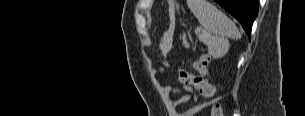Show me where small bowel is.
Listing matches in <instances>:
<instances>
[{
    "instance_id": "c3829d8e",
    "label": "small bowel",
    "mask_w": 305,
    "mask_h": 116,
    "mask_svg": "<svg viewBox=\"0 0 305 116\" xmlns=\"http://www.w3.org/2000/svg\"><path fill=\"white\" fill-rule=\"evenodd\" d=\"M171 47H172V42L171 41L170 42L169 41H165L162 44V50L165 53L170 51ZM186 90L188 91V94L181 96L175 102V105L184 104V103H187L191 98H196V96L194 95V92L192 91V89L189 86H186ZM171 91L175 93V92H177V89L176 88H171ZM201 107L202 106L199 105V106H195L193 108H190V109H188L187 111H185L183 113V116H193V115H195L200 110Z\"/></svg>"
}]
</instances>
